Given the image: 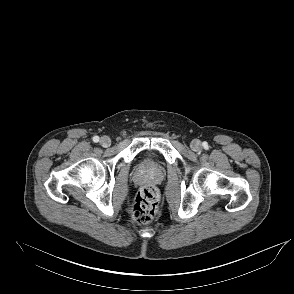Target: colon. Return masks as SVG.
I'll return each mask as SVG.
<instances>
[{
    "instance_id": "obj_1",
    "label": "colon",
    "mask_w": 294,
    "mask_h": 294,
    "mask_svg": "<svg viewBox=\"0 0 294 294\" xmlns=\"http://www.w3.org/2000/svg\"><path fill=\"white\" fill-rule=\"evenodd\" d=\"M159 192L156 187H142L135 198L132 207V217L139 223L150 222L157 214L159 207Z\"/></svg>"
}]
</instances>
